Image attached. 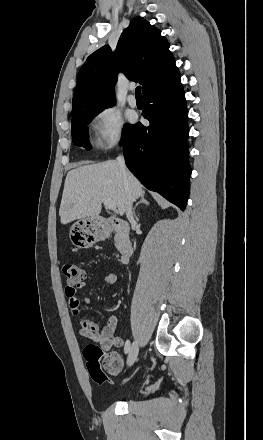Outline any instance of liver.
<instances>
[{"label": "liver", "instance_id": "1", "mask_svg": "<svg viewBox=\"0 0 263 440\" xmlns=\"http://www.w3.org/2000/svg\"><path fill=\"white\" fill-rule=\"evenodd\" d=\"M133 199L144 195L142 184L128 172L127 185L118 161L79 166L67 173L59 209L60 222L97 217L102 198H110L122 216L126 212V187Z\"/></svg>", "mask_w": 263, "mask_h": 440}]
</instances>
